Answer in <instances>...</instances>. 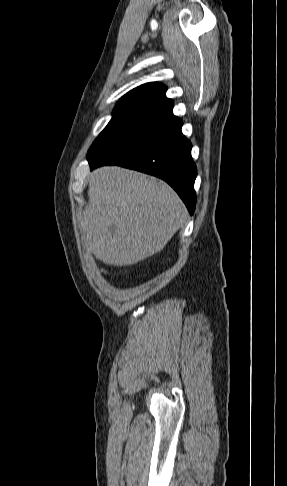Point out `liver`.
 Instances as JSON below:
<instances>
[{"mask_svg":"<svg viewBox=\"0 0 287 486\" xmlns=\"http://www.w3.org/2000/svg\"><path fill=\"white\" fill-rule=\"evenodd\" d=\"M88 197L80 231L96 258L109 265H133L156 254L187 217L167 183L118 166L92 173Z\"/></svg>","mask_w":287,"mask_h":486,"instance_id":"obj_1","label":"liver"}]
</instances>
